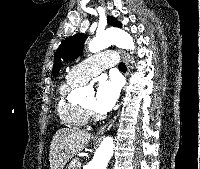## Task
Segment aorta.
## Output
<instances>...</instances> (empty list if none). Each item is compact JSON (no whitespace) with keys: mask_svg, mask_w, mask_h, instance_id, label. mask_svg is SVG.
<instances>
[{"mask_svg":"<svg viewBox=\"0 0 200 169\" xmlns=\"http://www.w3.org/2000/svg\"><path fill=\"white\" fill-rule=\"evenodd\" d=\"M110 45H116L123 49L133 50L135 48L132 37L120 30L108 29L102 33L96 34L88 45L90 52L96 53L107 48ZM84 91V90H83ZM114 151V141L112 137H106L101 142L100 147L94 153L91 161L92 169H106Z\"/></svg>","mask_w":200,"mask_h":169,"instance_id":"obj_1","label":"aorta"}]
</instances>
